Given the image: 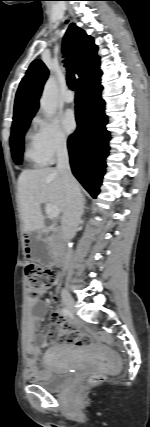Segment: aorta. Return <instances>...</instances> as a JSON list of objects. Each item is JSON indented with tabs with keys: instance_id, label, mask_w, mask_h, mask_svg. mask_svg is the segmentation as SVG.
<instances>
[{
	"instance_id": "aorta-1",
	"label": "aorta",
	"mask_w": 150,
	"mask_h": 427,
	"mask_svg": "<svg viewBox=\"0 0 150 427\" xmlns=\"http://www.w3.org/2000/svg\"><path fill=\"white\" fill-rule=\"evenodd\" d=\"M57 97V83L53 77H50L45 83L40 99V107L48 117L53 116L57 110Z\"/></svg>"
}]
</instances>
